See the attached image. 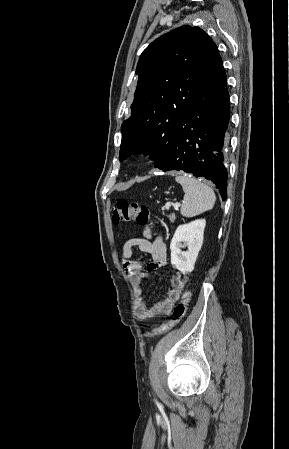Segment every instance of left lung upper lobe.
<instances>
[{
	"instance_id": "1",
	"label": "left lung upper lobe",
	"mask_w": 289,
	"mask_h": 449,
	"mask_svg": "<svg viewBox=\"0 0 289 449\" xmlns=\"http://www.w3.org/2000/svg\"><path fill=\"white\" fill-rule=\"evenodd\" d=\"M218 49L200 28L184 25L153 41L141 54L131 116L121 126L120 160L150 153L167 157L176 124L190 109Z\"/></svg>"
}]
</instances>
